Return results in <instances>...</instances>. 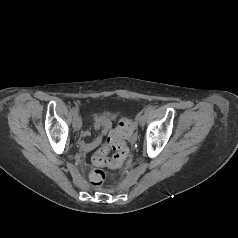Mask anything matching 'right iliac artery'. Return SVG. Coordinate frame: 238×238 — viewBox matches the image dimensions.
Segmentation results:
<instances>
[{
	"label": "right iliac artery",
	"instance_id": "obj_1",
	"mask_svg": "<svg viewBox=\"0 0 238 238\" xmlns=\"http://www.w3.org/2000/svg\"><path fill=\"white\" fill-rule=\"evenodd\" d=\"M71 113H72L73 116H77V115H78V109L75 108V107H73V108L71 109Z\"/></svg>",
	"mask_w": 238,
	"mask_h": 238
}]
</instances>
